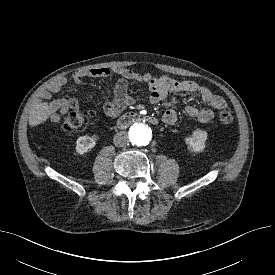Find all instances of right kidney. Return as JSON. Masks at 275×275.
Wrapping results in <instances>:
<instances>
[{
	"instance_id": "right-kidney-1",
	"label": "right kidney",
	"mask_w": 275,
	"mask_h": 275,
	"mask_svg": "<svg viewBox=\"0 0 275 275\" xmlns=\"http://www.w3.org/2000/svg\"><path fill=\"white\" fill-rule=\"evenodd\" d=\"M96 141L89 136L79 137L76 141V151L79 154L87 153L89 150L94 148Z\"/></svg>"
}]
</instances>
